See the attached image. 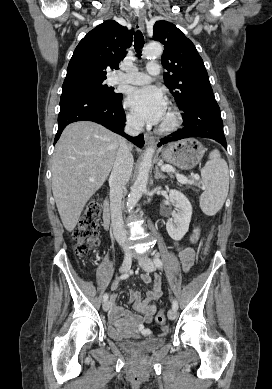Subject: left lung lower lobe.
I'll list each match as a JSON object with an SVG mask.
<instances>
[{
	"label": "left lung lower lobe",
	"mask_w": 272,
	"mask_h": 389,
	"mask_svg": "<svg viewBox=\"0 0 272 389\" xmlns=\"http://www.w3.org/2000/svg\"><path fill=\"white\" fill-rule=\"evenodd\" d=\"M184 128L161 139L158 146L189 137L210 138L227 149L220 108L214 94L197 98L183 109Z\"/></svg>",
	"instance_id": "left-lung-lower-lobe-1"
}]
</instances>
